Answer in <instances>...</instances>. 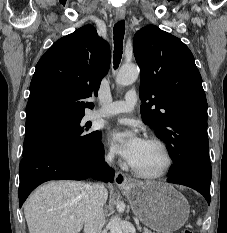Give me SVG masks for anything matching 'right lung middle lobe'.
<instances>
[{
    "label": "right lung middle lobe",
    "mask_w": 227,
    "mask_h": 233,
    "mask_svg": "<svg viewBox=\"0 0 227 233\" xmlns=\"http://www.w3.org/2000/svg\"><path fill=\"white\" fill-rule=\"evenodd\" d=\"M90 127L91 123H84L82 118H79L25 135L23 156L37 150L51 147H89L101 137L100 131H91L89 130Z\"/></svg>",
    "instance_id": "right-lung-middle-lobe-1"
}]
</instances>
